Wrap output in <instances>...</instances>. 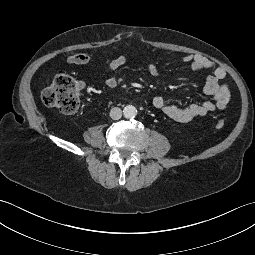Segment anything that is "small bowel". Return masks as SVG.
I'll use <instances>...</instances> for the list:
<instances>
[{
	"label": "small bowel",
	"mask_w": 255,
	"mask_h": 255,
	"mask_svg": "<svg viewBox=\"0 0 255 255\" xmlns=\"http://www.w3.org/2000/svg\"><path fill=\"white\" fill-rule=\"evenodd\" d=\"M90 61V56L87 53H78L67 58L69 64H87ZM183 61L194 70H211V74L207 77L204 86V93L212 96L213 101L205 100L199 103L191 104L181 108L175 105H170L162 96H155L152 99L153 106L160 110L171 120L177 122H188L195 118L206 115L207 113L224 109L230 99V91L228 85L221 84L220 81L225 78L226 71L221 66H215L211 61L197 54H186ZM127 62L126 55H120L109 61L105 70L107 72L115 71ZM147 72L151 76H157L159 69L154 63H149ZM126 80V76H112L104 79V84L108 88H115Z\"/></svg>",
	"instance_id": "obj_1"
}]
</instances>
